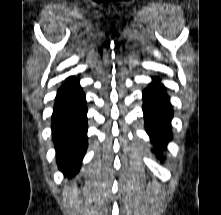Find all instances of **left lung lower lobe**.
Returning a JSON list of instances; mask_svg holds the SVG:
<instances>
[{
  "label": "left lung lower lobe",
  "instance_id": "left-lung-lower-lobe-1",
  "mask_svg": "<svg viewBox=\"0 0 221 215\" xmlns=\"http://www.w3.org/2000/svg\"><path fill=\"white\" fill-rule=\"evenodd\" d=\"M157 77L143 91V112L146 132L159 153L172 138L170 122L173 111L164 86ZM160 157V156H159Z\"/></svg>",
  "mask_w": 221,
  "mask_h": 215
}]
</instances>
